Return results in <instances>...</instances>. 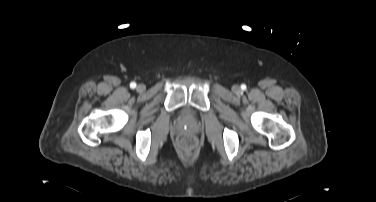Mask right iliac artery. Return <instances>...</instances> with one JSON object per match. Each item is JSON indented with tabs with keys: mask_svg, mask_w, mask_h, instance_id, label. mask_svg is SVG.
<instances>
[{
	"mask_svg": "<svg viewBox=\"0 0 376 202\" xmlns=\"http://www.w3.org/2000/svg\"><path fill=\"white\" fill-rule=\"evenodd\" d=\"M130 87H131L132 89H135V88H136V83H135V82H131V83H130Z\"/></svg>",
	"mask_w": 376,
	"mask_h": 202,
	"instance_id": "right-iliac-artery-1",
	"label": "right iliac artery"
}]
</instances>
